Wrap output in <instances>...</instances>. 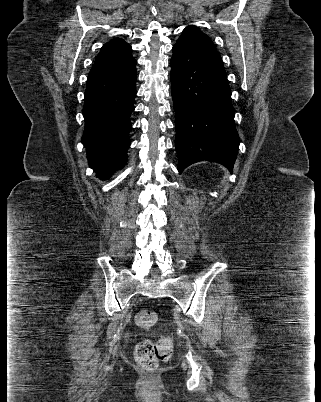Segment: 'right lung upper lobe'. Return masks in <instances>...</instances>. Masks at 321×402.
Instances as JSON below:
<instances>
[{
    "mask_svg": "<svg viewBox=\"0 0 321 402\" xmlns=\"http://www.w3.org/2000/svg\"><path fill=\"white\" fill-rule=\"evenodd\" d=\"M131 46L116 38L105 43L96 57L93 68L126 67L136 64L131 55Z\"/></svg>",
    "mask_w": 321,
    "mask_h": 402,
    "instance_id": "obj_1",
    "label": "right lung upper lobe"
}]
</instances>
